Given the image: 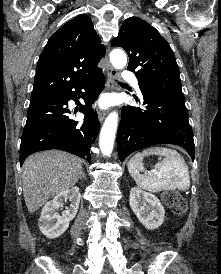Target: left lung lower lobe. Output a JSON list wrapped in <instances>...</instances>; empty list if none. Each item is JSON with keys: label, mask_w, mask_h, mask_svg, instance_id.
<instances>
[{"label": "left lung lower lobe", "mask_w": 221, "mask_h": 274, "mask_svg": "<svg viewBox=\"0 0 221 274\" xmlns=\"http://www.w3.org/2000/svg\"><path fill=\"white\" fill-rule=\"evenodd\" d=\"M142 95L145 108H122L117 132L119 159L123 161L132 152L164 143L183 147L194 160L193 133L185 99L144 93Z\"/></svg>", "instance_id": "0a47b994"}]
</instances>
